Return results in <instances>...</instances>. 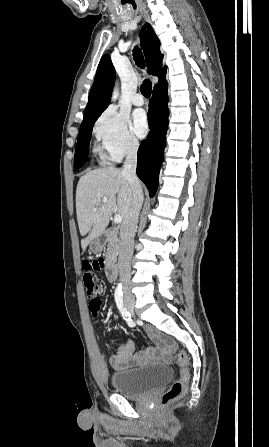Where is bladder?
I'll return each mask as SVG.
<instances>
[{
    "label": "bladder",
    "mask_w": 269,
    "mask_h": 447,
    "mask_svg": "<svg viewBox=\"0 0 269 447\" xmlns=\"http://www.w3.org/2000/svg\"><path fill=\"white\" fill-rule=\"evenodd\" d=\"M172 377L173 372L168 365L146 366L111 374L110 385L114 392L122 393L123 397L138 398L164 385Z\"/></svg>",
    "instance_id": "31cf9c89"
}]
</instances>
